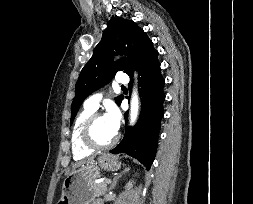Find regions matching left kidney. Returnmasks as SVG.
<instances>
[{
    "mask_svg": "<svg viewBox=\"0 0 253 204\" xmlns=\"http://www.w3.org/2000/svg\"><path fill=\"white\" fill-rule=\"evenodd\" d=\"M132 183H133V182L129 181V182L127 183V185H126V188L132 187Z\"/></svg>",
    "mask_w": 253,
    "mask_h": 204,
    "instance_id": "left-kidney-1",
    "label": "left kidney"
}]
</instances>
